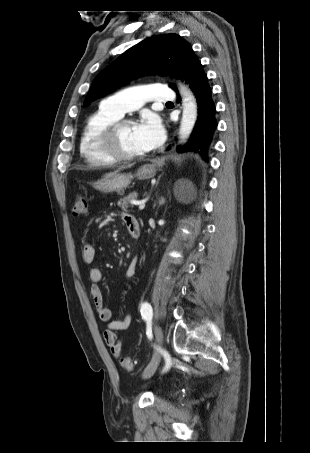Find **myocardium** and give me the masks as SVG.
<instances>
[{
    "label": "myocardium",
    "instance_id": "obj_1",
    "mask_svg": "<svg viewBox=\"0 0 310 453\" xmlns=\"http://www.w3.org/2000/svg\"><path fill=\"white\" fill-rule=\"evenodd\" d=\"M129 124H134V121L128 118H119L110 124L100 136V146L103 152L117 162H132L146 156V153L126 154L121 150L119 145V133L123 127Z\"/></svg>",
    "mask_w": 310,
    "mask_h": 453
}]
</instances>
